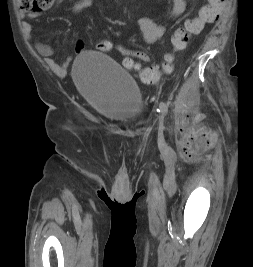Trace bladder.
Instances as JSON below:
<instances>
[{
  "mask_svg": "<svg viewBox=\"0 0 253 267\" xmlns=\"http://www.w3.org/2000/svg\"><path fill=\"white\" fill-rule=\"evenodd\" d=\"M72 76L79 92L104 118L119 124L139 120L144 109L142 90L126 70L105 54L80 53Z\"/></svg>",
  "mask_w": 253,
  "mask_h": 267,
  "instance_id": "obj_1",
  "label": "bladder"
}]
</instances>
